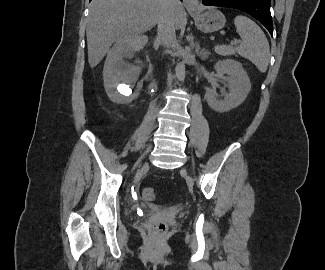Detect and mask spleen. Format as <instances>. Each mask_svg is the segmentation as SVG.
I'll return each mask as SVG.
<instances>
[{"label": "spleen", "mask_w": 325, "mask_h": 270, "mask_svg": "<svg viewBox=\"0 0 325 270\" xmlns=\"http://www.w3.org/2000/svg\"><path fill=\"white\" fill-rule=\"evenodd\" d=\"M234 25L242 40L240 45L216 46L215 52L224 56L237 52L250 60L260 72L265 73L270 60V47L266 35L253 20L243 15L235 17Z\"/></svg>", "instance_id": "3e777b00"}]
</instances>
